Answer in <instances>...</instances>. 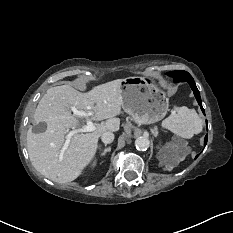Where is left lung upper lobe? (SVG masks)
<instances>
[{
    "label": "left lung upper lobe",
    "instance_id": "1",
    "mask_svg": "<svg viewBox=\"0 0 233 233\" xmlns=\"http://www.w3.org/2000/svg\"><path fill=\"white\" fill-rule=\"evenodd\" d=\"M167 75L174 77V79L179 80V81L187 76H191L188 72L183 71V70L172 71V72L167 73Z\"/></svg>",
    "mask_w": 233,
    "mask_h": 233
}]
</instances>
